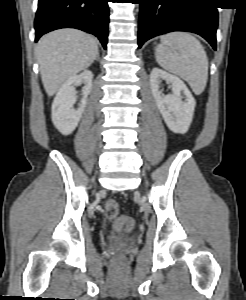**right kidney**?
I'll return each instance as SVG.
<instances>
[{
  "instance_id": "right-kidney-1",
  "label": "right kidney",
  "mask_w": 246,
  "mask_h": 300,
  "mask_svg": "<svg viewBox=\"0 0 246 300\" xmlns=\"http://www.w3.org/2000/svg\"><path fill=\"white\" fill-rule=\"evenodd\" d=\"M93 73L85 70L79 75L67 79L57 92L52 103V122L56 129L63 135L71 134L78 123L86 107L87 97L92 90ZM84 84L82 88L83 98L77 109L73 108L76 102L75 86Z\"/></svg>"
}]
</instances>
